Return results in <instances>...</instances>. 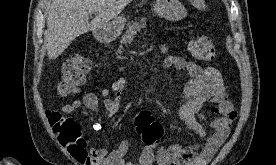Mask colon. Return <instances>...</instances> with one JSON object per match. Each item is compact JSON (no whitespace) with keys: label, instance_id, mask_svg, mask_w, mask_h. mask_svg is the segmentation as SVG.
Wrapping results in <instances>:
<instances>
[{"label":"colon","instance_id":"obj_1","mask_svg":"<svg viewBox=\"0 0 276 165\" xmlns=\"http://www.w3.org/2000/svg\"><path fill=\"white\" fill-rule=\"evenodd\" d=\"M192 54L199 60L210 61L215 58V48L212 41L205 37H196L190 42ZM91 69V62L82 55L71 56L63 65L58 93L70 96L79 91ZM49 122L58 140L66 146H81L82 132L79 123L70 117L63 116L58 111H52ZM134 127L146 146L157 144L163 133L161 124L155 120L148 110L140 111L134 118Z\"/></svg>","mask_w":276,"mask_h":165}]
</instances>
